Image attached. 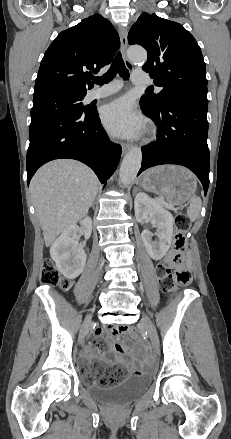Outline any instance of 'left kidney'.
Here are the masks:
<instances>
[{"instance_id": "obj_1", "label": "left kidney", "mask_w": 231, "mask_h": 439, "mask_svg": "<svg viewBox=\"0 0 231 439\" xmlns=\"http://www.w3.org/2000/svg\"><path fill=\"white\" fill-rule=\"evenodd\" d=\"M134 209L138 222L150 217L152 225L157 228L155 233L158 236L157 241L152 240L153 233L147 229L143 230L141 238L150 257L153 260L162 259L169 250L172 241L174 224L172 214L164 209L159 201L143 192L136 195Z\"/></svg>"}]
</instances>
